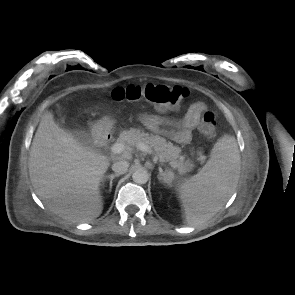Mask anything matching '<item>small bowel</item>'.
Masks as SVG:
<instances>
[{
  "label": "small bowel",
  "mask_w": 295,
  "mask_h": 295,
  "mask_svg": "<svg viewBox=\"0 0 295 295\" xmlns=\"http://www.w3.org/2000/svg\"><path fill=\"white\" fill-rule=\"evenodd\" d=\"M206 111H209L207 106L202 102H197L188 108L184 117L178 122H167L162 117L152 113L140 114L139 120L149 130L167 134L172 140L186 144L191 140L194 128ZM165 126H169V128Z\"/></svg>",
  "instance_id": "c3829d8e"
}]
</instances>
